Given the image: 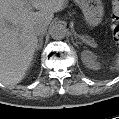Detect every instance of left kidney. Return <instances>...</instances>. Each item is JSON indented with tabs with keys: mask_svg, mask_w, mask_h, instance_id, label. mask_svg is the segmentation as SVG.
Wrapping results in <instances>:
<instances>
[{
	"mask_svg": "<svg viewBox=\"0 0 119 119\" xmlns=\"http://www.w3.org/2000/svg\"><path fill=\"white\" fill-rule=\"evenodd\" d=\"M94 54L90 51H84L82 53V60L88 68L98 69L99 65L94 61Z\"/></svg>",
	"mask_w": 119,
	"mask_h": 119,
	"instance_id": "1",
	"label": "left kidney"
}]
</instances>
